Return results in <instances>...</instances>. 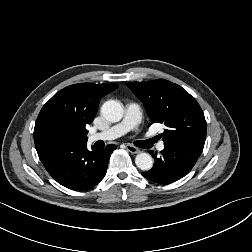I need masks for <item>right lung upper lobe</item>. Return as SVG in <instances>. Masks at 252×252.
<instances>
[{
  "label": "right lung upper lobe",
  "instance_id": "obj_1",
  "mask_svg": "<svg viewBox=\"0 0 252 252\" xmlns=\"http://www.w3.org/2000/svg\"><path fill=\"white\" fill-rule=\"evenodd\" d=\"M117 84L80 83L57 92L41 109L34 128V141L39 151L55 134H65L87 142L86 125L90 124L100 100L114 91Z\"/></svg>",
  "mask_w": 252,
  "mask_h": 252
}]
</instances>
